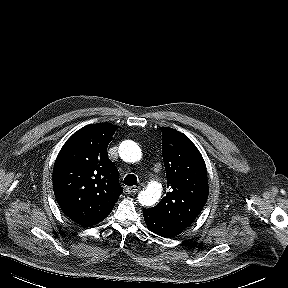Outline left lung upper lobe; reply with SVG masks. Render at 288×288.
I'll return each mask as SVG.
<instances>
[{
    "mask_svg": "<svg viewBox=\"0 0 288 288\" xmlns=\"http://www.w3.org/2000/svg\"><path fill=\"white\" fill-rule=\"evenodd\" d=\"M162 154L170 191L149 211L162 220L186 229L200 214L208 198L203 157L181 132L162 127Z\"/></svg>",
    "mask_w": 288,
    "mask_h": 288,
    "instance_id": "1",
    "label": "left lung upper lobe"
}]
</instances>
